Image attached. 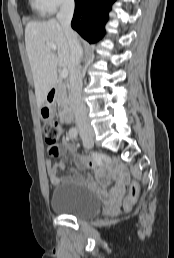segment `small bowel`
<instances>
[{
    "label": "small bowel",
    "instance_id": "c3829d8e",
    "mask_svg": "<svg viewBox=\"0 0 174 258\" xmlns=\"http://www.w3.org/2000/svg\"><path fill=\"white\" fill-rule=\"evenodd\" d=\"M52 149H49V153ZM58 155L63 153V158L59 163L52 164L51 162L47 163V173L48 177L50 179V182L53 186H56L60 182V178L58 177L57 173L58 170L63 168L66 164V162L69 159H73L75 164L86 170H95L97 180L104 183L108 180V173L100 168H97V166L100 164V162L97 159V156L94 154H91L89 156L80 155L76 152L75 148L72 144L69 143L67 139H63L61 144L56 148ZM51 155V154H50ZM52 156V155H51ZM115 169L118 175V181L112 191L111 198L116 200L118 196L122 193L125 185L129 181L128 173L127 171L122 168L120 165L115 164ZM75 179L77 181H82V178L78 175L75 176Z\"/></svg>",
    "mask_w": 174,
    "mask_h": 258
}]
</instances>
